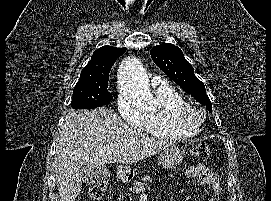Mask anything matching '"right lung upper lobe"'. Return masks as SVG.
<instances>
[{
  "instance_id": "obj_1",
  "label": "right lung upper lobe",
  "mask_w": 271,
  "mask_h": 201,
  "mask_svg": "<svg viewBox=\"0 0 271 201\" xmlns=\"http://www.w3.org/2000/svg\"><path fill=\"white\" fill-rule=\"evenodd\" d=\"M126 48L103 46L94 51L90 62L81 71V78L109 75L116 59L124 54Z\"/></svg>"
}]
</instances>
